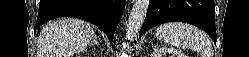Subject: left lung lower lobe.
<instances>
[{
    "instance_id": "0a47b994",
    "label": "left lung lower lobe",
    "mask_w": 249,
    "mask_h": 57,
    "mask_svg": "<svg viewBox=\"0 0 249 57\" xmlns=\"http://www.w3.org/2000/svg\"><path fill=\"white\" fill-rule=\"evenodd\" d=\"M173 21L201 28L216 44L214 0H150L139 38L152 27Z\"/></svg>"
}]
</instances>
